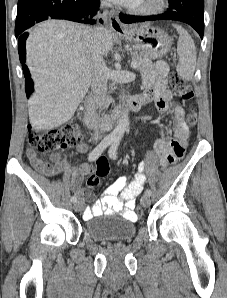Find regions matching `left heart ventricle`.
<instances>
[{"instance_id": "1", "label": "left heart ventricle", "mask_w": 227, "mask_h": 298, "mask_svg": "<svg viewBox=\"0 0 227 298\" xmlns=\"http://www.w3.org/2000/svg\"><path fill=\"white\" fill-rule=\"evenodd\" d=\"M155 0H138L135 5L137 6H150Z\"/></svg>"}]
</instances>
